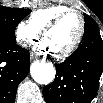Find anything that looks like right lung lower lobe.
Here are the masks:
<instances>
[{"instance_id": "1", "label": "right lung lower lobe", "mask_w": 103, "mask_h": 103, "mask_svg": "<svg viewBox=\"0 0 103 103\" xmlns=\"http://www.w3.org/2000/svg\"><path fill=\"white\" fill-rule=\"evenodd\" d=\"M30 66L29 51L15 42L0 40V103L15 100L19 83L27 76Z\"/></svg>"}]
</instances>
